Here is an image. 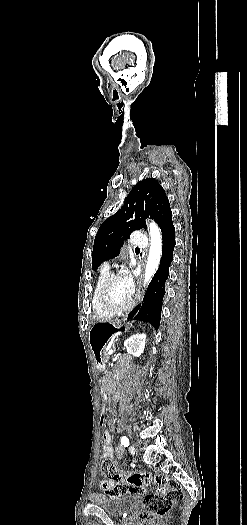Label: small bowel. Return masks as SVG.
I'll list each match as a JSON object with an SVG mask.
<instances>
[{
  "instance_id": "1",
  "label": "small bowel",
  "mask_w": 247,
  "mask_h": 525,
  "mask_svg": "<svg viewBox=\"0 0 247 525\" xmlns=\"http://www.w3.org/2000/svg\"><path fill=\"white\" fill-rule=\"evenodd\" d=\"M102 440H103V453H104V456L112 461H114V463L120 467V459H119V451H116L113 446H112V435L110 433V431L106 430L104 431L103 435H102ZM99 485L100 487L102 488H105L104 489V494L106 496H111L113 498L117 497L118 495H113V485H112V482L110 480H104V479H101L99 481Z\"/></svg>"
}]
</instances>
